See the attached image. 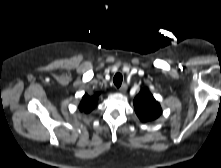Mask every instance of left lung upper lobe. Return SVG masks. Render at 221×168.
I'll return each instance as SVG.
<instances>
[{
  "instance_id": "obj_1",
  "label": "left lung upper lobe",
  "mask_w": 221,
  "mask_h": 168,
  "mask_svg": "<svg viewBox=\"0 0 221 168\" xmlns=\"http://www.w3.org/2000/svg\"><path fill=\"white\" fill-rule=\"evenodd\" d=\"M134 108L137 116L143 122L153 121L162 113L160 104L147 89H143L135 97Z\"/></svg>"
}]
</instances>
